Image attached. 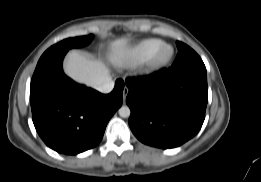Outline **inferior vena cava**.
<instances>
[{"instance_id": "1", "label": "inferior vena cava", "mask_w": 261, "mask_h": 182, "mask_svg": "<svg viewBox=\"0 0 261 182\" xmlns=\"http://www.w3.org/2000/svg\"><path fill=\"white\" fill-rule=\"evenodd\" d=\"M94 88L101 93H110L114 88V81L109 78L103 83L96 85Z\"/></svg>"}]
</instances>
